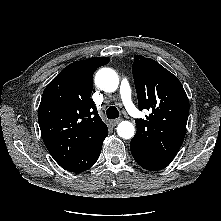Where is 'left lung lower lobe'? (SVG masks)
<instances>
[{"label":"left lung lower lobe","mask_w":221,"mask_h":221,"mask_svg":"<svg viewBox=\"0 0 221 221\" xmlns=\"http://www.w3.org/2000/svg\"><path fill=\"white\" fill-rule=\"evenodd\" d=\"M130 150L135 161L144 169L150 171L161 170L170 164L169 161L157 160L143 155L139 150L130 143Z\"/></svg>","instance_id":"1"}]
</instances>
